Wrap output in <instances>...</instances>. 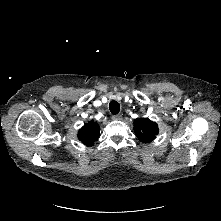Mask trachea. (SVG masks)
Returning <instances> with one entry per match:
<instances>
[{
	"label": "trachea",
	"mask_w": 221,
	"mask_h": 221,
	"mask_svg": "<svg viewBox=\"0 0 221 221\" xmlns=\"http://www.w3.org/2000/svg\"><path fill=\"white\" fill-rule=\"evenodd\" d=\"M109 110L112 114L116 115L120 112V105L116 101H112L109 104Z\"/></svg>",
	"instance_id": "1"
}]
</instances>
